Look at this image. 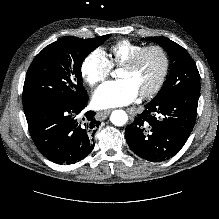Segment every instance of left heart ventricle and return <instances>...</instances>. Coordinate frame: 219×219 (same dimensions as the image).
<instances>
[{"instance_id": "left-heart-ventricle-1", "label": "left heart ventricle", "mask_w": 219, "mask_h": 219, "mask_svg": "<svg viewBox=\"0 0 219 219\" xmlns=\"http://www.w3.org/2000/svg\"><path fill=\"white\" fill-rule=\"evenodd\" d=\"M162 57L157 51L147 52L132 69L121 68L119 79L128 80L138 92L149 89L157 81L162 70Z\"/></svg>"}]
</instances>
